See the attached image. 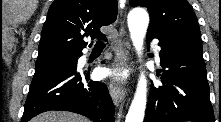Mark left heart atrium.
Returning a JSON list of instances; mask_svg holds the SVG:
<instances>
[{"label":"left heart atrium","mask_w":221,"mask_h":122,"mask_svg":"<svg viewBox=\"0 0 221 122\" xmlns=\"http://www.w3.org/2000/svg\"><path fill=\"white\" fill-rule=\"evenodd\" d=\"M105 73H106L107 75H112V74H114L113 71H109V70H107Z\"/></svg>","instance_id":"left-heart-atrium-1"}]
</instances>
